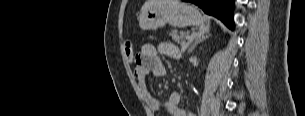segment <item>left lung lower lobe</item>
Segmentation results:
<instances>
[{
  "label": "left lung lower lobe",
  "mask_w": 305,
  "mask_h": 116,
  "mask_svg": "<svg viewBox=\"0 0 305 116\" xmlns=\"http://www.w3.org/2000/svg\"><path fill=\"white\" fill-rule=\"evenodd\" d=\"M203 9L206 14L213 15L223 21L230 29H234L233 0H188Z\"/></svg>",
  "instance_id": "0a47b994"
}]
</instances>
